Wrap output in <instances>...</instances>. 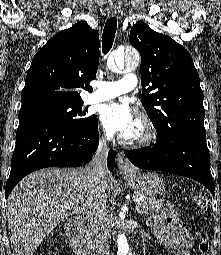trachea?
<instances>
[{
	"mask_svg": "<svg viewBox=\"0 0 221 255\" xmlns=\"http://www.w3.org/2000/svg\"><path fill=\"white\" fill-rule=\"evenodd\" d=\"M116 29H117L116 17L109 18L105 23L102 35V51L104 54H107L113 45Z\"/></svg>",
	"mask_w": 221,
	"mask_h": 255,
	"instance_id": "1",
	"label": "trachea"
}]
</instances>
